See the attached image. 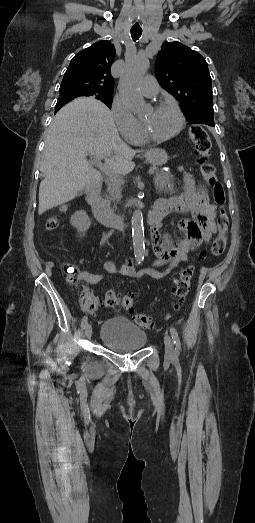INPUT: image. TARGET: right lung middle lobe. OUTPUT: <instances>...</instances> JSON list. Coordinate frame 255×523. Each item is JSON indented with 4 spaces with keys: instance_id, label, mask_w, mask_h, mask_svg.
Listing matches in <instances>:
<instances>
[{
    "instance_id": "dd1d6c3e",
    "label": "right lung middle lobe",
    "mask_w": 255,
    "mask_h": 523,
    "mask_svg": "<svg viewBox=\"0 0 255 523\" xmlns=\"http://www.w3.org/2000/svg\"><path fill=\"white\" fill-rule=\"evenodd\" d=\"M80 96H92V95L77 94V93H70V92H60L58 101L69 102L72 99L80 97ZM94 98L102 101L111 109V105H112V101H113V97L111 95H95Z\"/></svg>"
}]
</instances>
